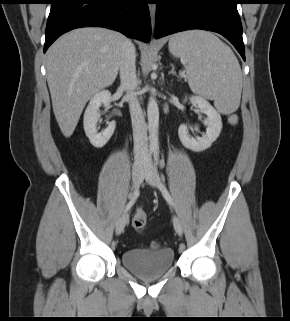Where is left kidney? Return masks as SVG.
I'll return each instance as SVG.
<instances>
[{
    "mask_svg": "<svg viewBox=\"0 0 290 321\" xmlns=\"http://www.w3.org/2000/svg\"><path fill=\"white\" fill-rule=\"evenodd\" d=\"M193 106L207 115L204 124L207 126L206 133L202 137H192L188 132V127L185 124L180 125L178 135L182 144L195 152H201L209 148L212 143L218 138L222 129V121L220 114L212 107V105L203 97L191 96L189 98ZM194 130L198 131L196 127Z\"/></svg>",
    "mask_w": 290,
    "mask_h": 321,
    "instance_id": "1",
    "label": "left kidney"
}]
</instances>
